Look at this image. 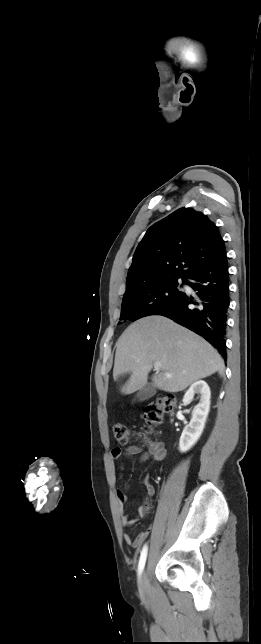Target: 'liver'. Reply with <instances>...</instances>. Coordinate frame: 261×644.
<instances>
[{"instance_id":"1","label":"liver","mask_w":261,"mask_h":644,"mask_svg":"<svg viewBox=\"0 0 261 644\" xmlns=\"http://www.w3.org/2000/svg\"><path fill=\"white\" fill-rule=\"evenodd\" d=\"M113 377L130 372L125 394L147 384L155 362L161 372L152 377V385L165 392H179L215 372L224 375V361L203 338L163 316H148L132 323L116 343ZM166 373L172 375L168 378Z\"/></svg>"}]
</instances>
